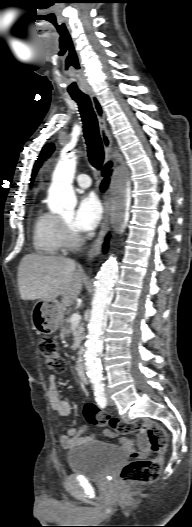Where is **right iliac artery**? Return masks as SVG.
I'll use <instances>...</instances> for the list:
<instances>
[{
    "instance_id": "right-iliac-artery-1",
    "label": "right iliac artery",
    "mask_w": 192,
    "mask_h": 527,
    "mask_svg": "<svg viewBox=\"0 0 192 527\" xmlns=\"http://www.w3.org/2000/svg\"><path fill=\"white\" fill-rule=\"evenodd\" d=\"M94 394L95 399L100 405V407L104 408L107 404V399L104 393V385L103 384H95L94 385Z\"/></svg>"
}]
</instances>
